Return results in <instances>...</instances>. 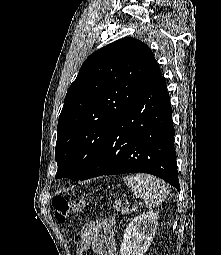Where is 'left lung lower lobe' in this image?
<instances>
[{
  "label": "left lung lower lobe",
  "instance_id": "obj_1",
  "mask_svg": "<svg viewBox=\"0 0 221 255\" xmlns=\"http://www.w3.org/2000/svg\"><path fill=\"white\" fill-rule=\"evenodd\" d=\"M172 108L164 77L123 112L106 143L79 180L101 175L149 173L180 190Z\"/></svg>",
  "mask_w": 221,
  "mask_h": 255
}]
</instances>
